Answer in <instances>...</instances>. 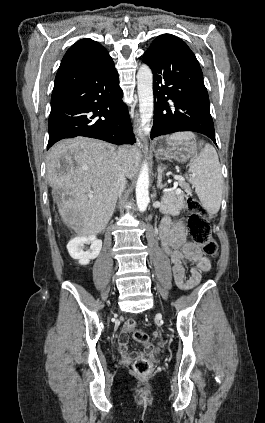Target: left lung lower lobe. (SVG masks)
<instances>
[{
	"label": "left lung lower lobe",
	"instance_id": "1",
	"mask_svg": "<svg viewBox=\"0 0 265 423\" xmlns=\"http://www.w3.org/2000/svg\"><path fill=\"white\" fill-rule=\"evenodd\" d=\"M153 71L151 139L179 131L204 134L216 144L209 97L200 65L185 42L166 34L143 55Z\"/></svg>",
	"mask_w": 265,
	"mask_h": 423
}]
</instances>
